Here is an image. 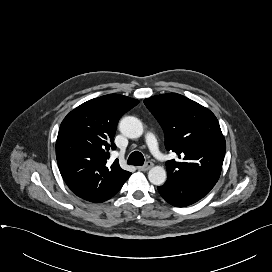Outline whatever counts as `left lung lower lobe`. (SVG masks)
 Segmentation results:
<instances>
[{
  "mask_svg": "<svg viewBox=\"0 0 272 272\" xmlns=\"http://www.w3.org/2000/svg\"><path fill=\"white\" fill-rule=\"evenodd\" d=\"M213 187L214 184L201 183L185 178L180 181L166 182L157 188L160 195L168 203L176 207H185L203 198Z\"/></svg>",
  "mask_w": 272,
  "mask_h": 272,
  "instance_id": "1",
  "label": "left lung lower lobe"
}]
</instances>
